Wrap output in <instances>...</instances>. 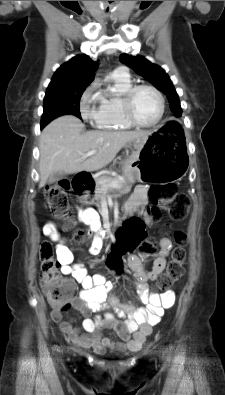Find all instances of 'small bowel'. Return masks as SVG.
Masks as SVG:
<instances>
[{
    "instance_id": "1",
    "label": "small bowel",
    "mask_w": 225,
    "mask_h": 395,
    "mask_svg": "<svg viewBox=\"0 0 225 395\" xmlns=\"http://www.w3.org/2000/svg\"><path fill=\"white\" fill-rule=\"evenodd\" d=\"M146 203L147 186L138 185L126 204V211L133 215ZM78 217L82 223L89 226L91 232L95 233L90 253L92 255L99 254L103 246V236L100 233L101 223L98 213L90 208L81 209ZM43 234L57 242L56 253L62 274L70 275L82 288L79 295L70 301L69 307L78 309L86 317L83 321L85 332L81 333L74 328L70 321H62L63 310L54 308L51 317L55 322H60L61 330L69 336L75 345L93 348L98 353L104 352L107 348L140 349L151 333V327L156 325L164 311L175 303V294L172 291L157 293L148 290V284L155 281L165 269L167 257L172 249V241L167 237L160 240V249L150 270L144 268L138 256L128 257L127 264L133 272L140 301L144 305V307L138 308L134 305L121 303L112 294L113 282L107 280L104 275H88L81 264L73 262V254L53 222L44 224ZM105 303L112 308L113 312H108L104 316L88 317L90 313L99 311ZM115 314L124 320H117ZM105 328L113 329L118 335L119 341L103 336L101 332Z\"/></svg>"
}]
</instances>
